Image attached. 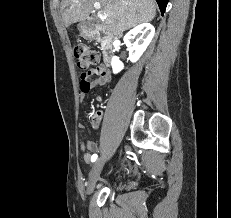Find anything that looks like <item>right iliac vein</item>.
Here are the masks:
<instances>
[{
  "instance_id": "right-iliac-vein-1",
  "label": "right iliac vein",
  "mask_w": 231,
  "mask_h": 218,
  "mask_svg": "<svg viewBox=\"0 0 231 218\" xmlns=\"http://www.w3.org/2000/svg\"><path fill=\"white\" fill-rule=\"evenodd\" d=\"M105 159L99 158L93 165L90 174H89V180L87 185V194H91L94 191L96 182L100 176L101 170L104 166Z\"/></svg>"
}]
</instances>
